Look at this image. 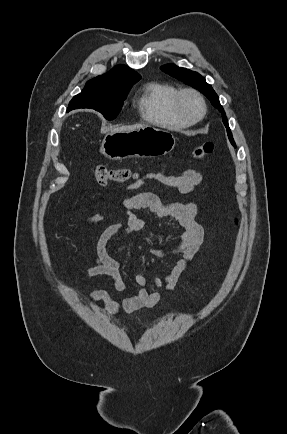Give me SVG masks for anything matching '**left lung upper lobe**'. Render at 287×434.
Returning <instances> with one entry per match:
<instances>
[{"label":"left lung upper lobe","instance_id":"obj_1","mask_svg":"<svg viewBox=\"0 0 287 434\" xmlns=\"http://www.w3.org/2000/svg\"><path fill=\"white\" fill-rule=\"evenodd\" d=\"M161 70L170 76L177 78L181 81H184L188 85L198 89L200 92H202L212 103V105L217 108L223 115V123L227 128V134L229 137L230 142L232 145L235 146V142L232 137V133L230 131L228 121L224 112V109L222 108L219 97L215 93V91L212 89V87L206 83L205 78L202 77L199 73L188 70L186 68H180L174 64H167L161 66Z\"/></svg>","mask_w":287,"mask_h":434}]
</instances>
